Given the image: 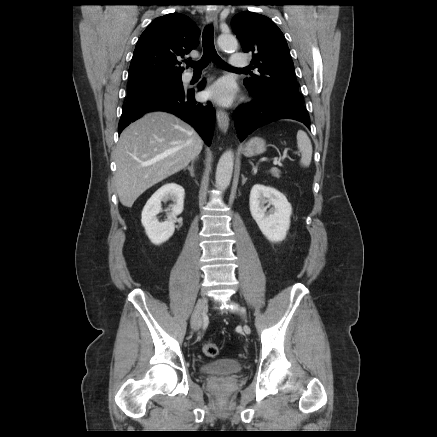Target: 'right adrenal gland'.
<instances>
[{"mask_svg": "<svg viewBox=\"0 0 437 437\" xmlns=\"http://www.w3.org/2000/svg\"><path fill=\"white\" fill-rule=\"evenodd\" d=\"M196 160H197V159L193 160V161L191 162V165L187 167V169L189 170L190 175H191L192 177L195 176V175H194V163H195ZM184 170H186V169H184Z\"/></svg>", "mask_w": 437, "mask_h": 437, "instance_id": "obj_1", "label": "right adrenal gland"}]
</instances>
